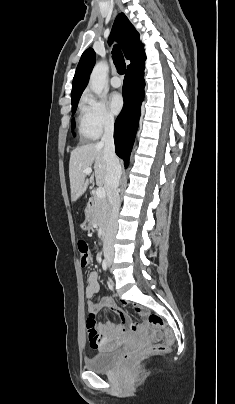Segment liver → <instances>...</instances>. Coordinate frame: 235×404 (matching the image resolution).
Here are the masks:
<instances>
[{"mask_svg": "<svg viewBox=\"0 0 235 404\" xmlns=\"http://www.w3.org/2000/svg\"><path fill=\"white\" fill-rule=\"evenodd\" d=\"M93 166L94 173L89 179L84 172L86 168ZM107 165L102 143H91L75 148L70 154L69 178L71 199L75 202L87 190L88 185L96 179L98 186H104L106 190ZM107 192V190H106Z\"/></svg>", "mask_w": 235, "mask_h": 404, "instance_id": "6515ba94", "label": "liver"}]
</instances>
